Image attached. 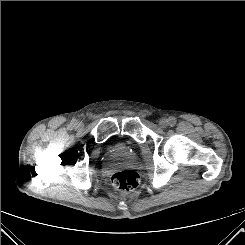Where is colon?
Returning a JSON list of instances; mask_svg holds the SVG:
<instances>
[{"mask_svg":"<svg viewBox=\"0 0 245 245\" xmlns=\"http://www.w3.org/2000/svg\"><path fill=\"white\" fill-rule=\"evenodd\" d=\"M111 181L118 190L129 192L138 186L139 176L131 169L119 170L112 175Z\"/></svg>","mask_w":245,"mask_h":245,"instance_id":"colon-1","label":"colon"}]
</instances>
